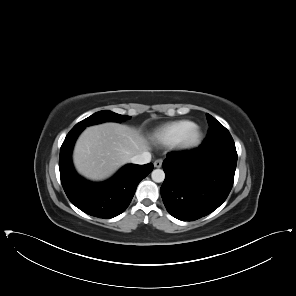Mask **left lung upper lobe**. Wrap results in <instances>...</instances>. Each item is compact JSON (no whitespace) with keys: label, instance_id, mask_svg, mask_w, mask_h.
<instances>
[{"label":"left lung upper lobe","instance_id":"left-lung-upper-lobe-1","mask_svg":"<svg viewBox=\"0 0 296 296\" xmlns=\"http://www.w3.org/2000/svg\"><path fill=\"white\" fill-rule=\"evenodd\" d=\"M209 124V131L202 146L206 152L222 148L235 149V143L229 131L220 124L214 117L206 114Z\"/></svg>","mask_w":296,"mask_h":296}]
</instances>
